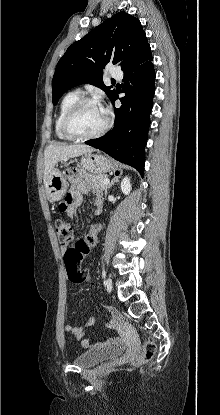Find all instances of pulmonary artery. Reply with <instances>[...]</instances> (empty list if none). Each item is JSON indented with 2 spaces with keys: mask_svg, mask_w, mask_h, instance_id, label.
Wrapping results in <instances>:
<instances>
[{
  "mask_svg": "<svg viewBox=\"0 0 220 415\" xmlns=\"http://www.w3.org/2000/svg\"><path fill=\"white\" fill-rule=\"evenodd\" d=\"M111 75H112L113 78H116V79H121L123 77V74L119 69H114L111 72Z\"/></svg>",
  "mask_w": 220,
  "mask_h": 415,
  "instance_id": "obj_1",
  "label": "pulmonary artery"
}]
</instances>
